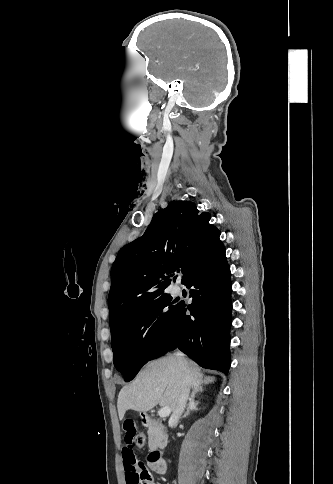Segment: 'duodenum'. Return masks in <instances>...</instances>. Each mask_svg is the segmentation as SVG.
I'll return each instance as SVG.
<instances>
[{
  "label": "duodenum",
  "mask_w": 333,
  "mask_h": 484,
  "mask_svg": "<svg viewBox=\"0 0 333 484\" xmlns=\"http://www.w3.org/2000/svg\"><path fill=\"white\" fill-rule=\"evenodd\" d=\"M144 422L146 425L151 424V419L145 418ZM151 468L153 471L159 474H164L166 472V463L161 457L159 449L153 450L149 455Z\"/></svg>",
  "instance_id": "duodenum-1"
}]
</instances>
